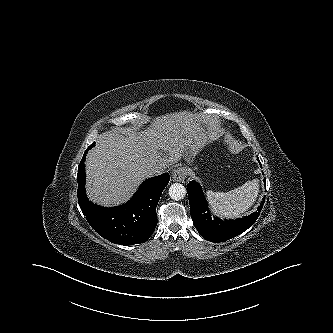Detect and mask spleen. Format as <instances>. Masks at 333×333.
Here are the masks:
<instances>
[{
    "mask_svg": "<svg viewBox=\"0 0 333 333\" xmlns=\"http://www.w3.org/2000/svg\"><path fill=\"white\" fill-rule=\"evenodd\" d=\"M259 193V180L247 181L242 186L229 192H206L208 203L213 213L226 217H240L256 201Z\"/></svg>",
    "mask_w": 333,
    "mask_h": 333,
    "instance_id": "1",
    "label": "spleen"
}]
</instances>
